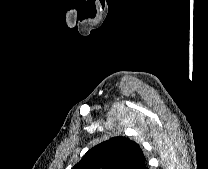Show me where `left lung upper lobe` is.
Masks as SVG:
<instances>
[{
	"instance_id": "1",
	"label": "left lung upper lobe",
	"mask_w": 208,
	"mask_h": 169,
	"mask_svg": "<svg viewBox=\"0 0 208 169\" xmlns=\"http://www.w3.org/2000/svg\"><path fill=\"white\" fill-rule=\"evenodd\" d=\"M146 166L139 144L117 136L89 149L72 169H145Z\"/></svg>"
}]
</instances>
